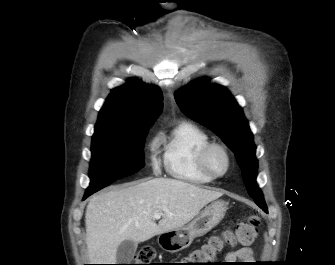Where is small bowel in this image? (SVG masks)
<instances>
[{"label": "small bowel", "mask_w": 335, "mask_h": 265, "mask_svg": "<svg viewBox=\"0 0 335 265\" xmlns=\"http://www.w3.org/2000/svg\"><path fill=\"white\" fill-rule=\"evenodd\" d=\"M254 260V251L250 247H241L228 251L224 256V263L232 264L236 261L250 262Z\"/></svg>", "instance_id": "c3829d8e"}]
</instances>
